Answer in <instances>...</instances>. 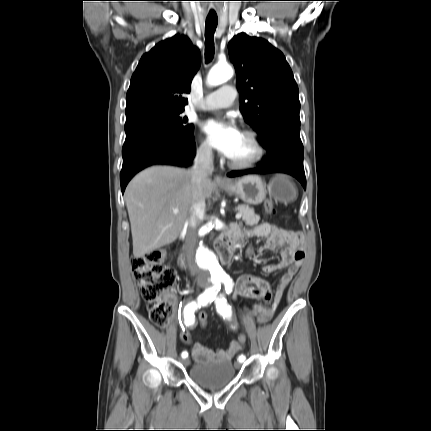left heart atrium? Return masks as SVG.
Here are the masks:
<instances>
[{"label":"left heart atrium","mask_w":431,"mask_h":431,"mask_svg":"<svg viewBox=\"0 0 431 431\" xmlns=\"http://www.w3.org/2000/svg\"><path fill=\"white\" fill-rule=\"evenodd\" d=\"M202 131L211 146L227 157L232 155L242 136L235 124L218 119L206 120Z\"/></svg>","instance_id":"left-heart-atrium-1"}]
</instances>
